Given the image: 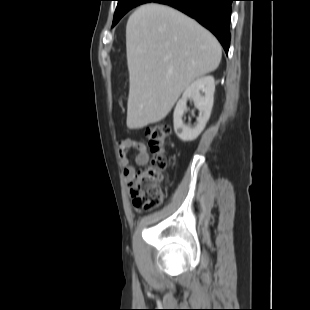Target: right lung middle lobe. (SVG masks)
I'll return each mask as SVG.
<instances>
[{"mask_svg": "<svg viewBox=\"0 0 310 310\" xmlns=\"http://www.w3.org/2000/svg\"><path fill=\"white\" fill-rule=\"evenodd\" d=\"M118 5L115 10L113 26L132 8L152 0H117Z\"/></svg>", "mask_w": 310, "mask_h": 310, "instance_id": "right-lung-middle-lobe-1", "label": "right lung middle lobe"}]
</instances>
